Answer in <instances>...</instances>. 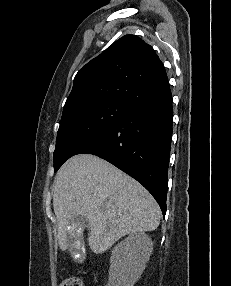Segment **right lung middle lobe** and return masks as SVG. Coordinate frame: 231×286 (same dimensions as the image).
Returning a JSON list of instances; mask_svg holds the SVG:
<instances>
[{
	"label": "right lung middle lobe",
	"mask_w": 231,
	"mask_h": 286,
	"mask_svg": "<svg viewBox=\"0 0 231 286\" xmlns=\"http://www.w3.org/2000/svg\"><path fill=\"white\" fill-rule=\"evenodd\" d=\"M128 113L126 103L103 101L62 116L54 151V171Z\"/></svg>",
	"instance_id": "right-lung-middle-lobe-1"
}]
</instances>
